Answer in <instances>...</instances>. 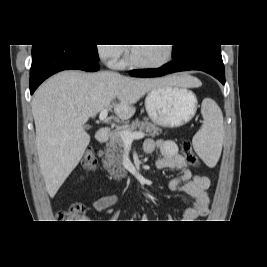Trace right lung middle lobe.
<instances>
[{"label": "right lung middle lobe", "mask_w": 267, "mask_h": 267, "mask_svg": "<svg viewBox=\"0 0 267 267\" xmlns=\"http://www.w3.org/2000/svg\"><path fill=\"white\" fill-rule=\"evenodd\" d=\"M79 48L83 49L92 58L98 60L97 47L96 45H78Z\"/></svg>", "instance_id": "1"}]
</instances>
